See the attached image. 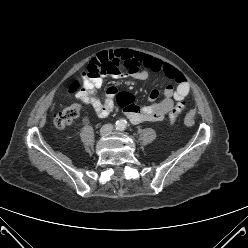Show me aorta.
I'll use <instances>...</instances> for the list:
<instances>
[{"instance_id": "1", "label": "aorta", "mask_w": 248, "mask_h": 248, "mask_svg": "<svg viewBox=\"0 0 248 248\" xmlns=\"http://www.w3.org/2000/svg\"><path fill=\"white\" fill-rule=\"evenodd\" d=\"M116 126L119 130H123L126 127V121L124 119H120L116 122Z\"/></svg>"}]
</instances>
